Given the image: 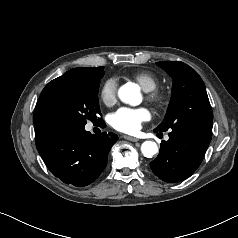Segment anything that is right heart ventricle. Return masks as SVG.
<instances>
[{
  "instance_id": "obj_1",
  "label": "right heart ventricle",
  "mask_w": 238,
  "mask_h": 238,
  "mask_svg": "<svg viewBox=\"0 0 238 238\" xmlns=\"http://www.w3.org/2000/svg\"><path fill=\"white\" fill-rule=\"evenodd\" d=\"M131 78L146 92L154 90L159 83L157 76L149 71H137L131 75Z\"/></svg>"
}]
</instances>
